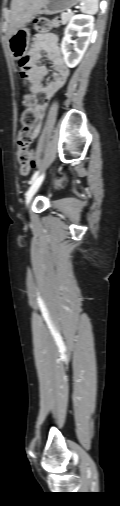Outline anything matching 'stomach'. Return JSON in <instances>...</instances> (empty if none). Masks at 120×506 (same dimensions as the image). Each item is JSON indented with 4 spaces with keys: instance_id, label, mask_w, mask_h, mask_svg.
Segmentation results:
<instances>
[{
    "instance_id": "obj_1",
    "label": "stomach",
    "mask_w": 120,
    "mask_h": 506,
    "mask_svg": "<svg viewBox=\"0 0 120 506\" xmlns=\"http://www.w3.org/2000/svg\"><path fill=\"white\" fill-rule=\"evenodd\" d=\"M79 1L80 0H46L43 9L40 12L47 14L64 12L76 5ZM29 41L30 34L25 27L18 29L13 35L9 37V47L11 54L15 59H20L23 55L26 54L29 47Z\"/></svg>"
}]
</instances>
